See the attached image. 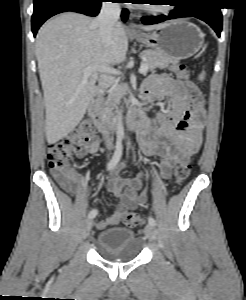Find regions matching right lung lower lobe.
I'll return each instance as SVG.
<instances>
[{
    "label": "right lung lower lobe",
    "instance_id": "98d812e1",
    "mask_svg": "<svg viewBox=\"0 0 246 300\" xmlns=\"http://www.w3.org/2000/svg\"><path fill=\"white\" fill-rule=\"evenodd\" d=\"M104 0H34L32 15V32L36 33L40 26L50 17L66 11H74L88 16L98 15ZM122 20L128 18V11H122Z\"/></svg>",
    "mask_w": 246,
    "mask_h": 300
}]
</instances>
